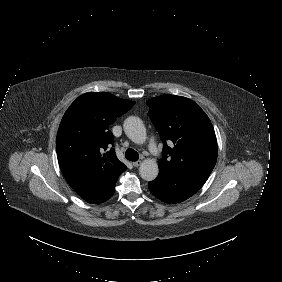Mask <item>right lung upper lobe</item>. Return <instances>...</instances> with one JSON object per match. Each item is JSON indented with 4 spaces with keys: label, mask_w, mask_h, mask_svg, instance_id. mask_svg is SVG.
Returning a JSON list of instances; mask_svg holds the SVG:
<instances>
[{
    "label": "right lung upper lobe",
    "mask_w": 282,
    "mask_h": 282,
    "mask_svg": "<svg viewBox=\"0 0 282 282\" xmlns=\"http://www.w3.org/2000/svg\"><path fill=\"white\" fill-rule=\"evenodd\" d=\"M134 104L107 92H88L65 112L56 139L58 162L69 185L84 200L126 170L111 148L110 125Z\"/></svg>",
    "instance_id": "cb5924a9"
}]
</instances>
